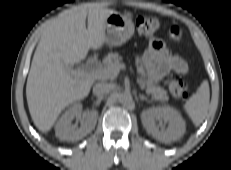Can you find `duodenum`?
I'll list each match as a JSON object with an SVG mask.
<instances>
[{
  "instance_id": "obj_1",
  "label": "duodenum",
  "mask_w": 231,
  "mask_h": 170,
  "mask_svg": "<svg viewBox=\"0 0 231 170\" xmlns=\"http://www.w3.org/2000/svg\"><path fill=\"white\" fill-rule=\"evenodd\" d=\"M88 63L89 64H94V63H96V59L95 58H89V60H88Z\"/></svg>"
}]
</instances>
